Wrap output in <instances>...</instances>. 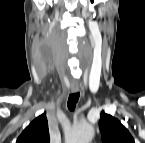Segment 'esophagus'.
I'll list each match as a JSON object with an SVG mask.
<instances>
[{
    "mask_svg": "<svg viewBox=\"0 0 145 143\" xmlns=\"http://www.w3.org/2000/svg\"><path fill=\"white\" fill-rule=\"evenodd\" d=\"M71 91H72L73 93L78 92V91H79L78 85L73 84V85L71 86Z\"/></svg>",
    "mask_w": 145,
    "mask_h": 143,
    "instance_id": "34e87169",
    "label": "esophagus"
}]
</instances>
